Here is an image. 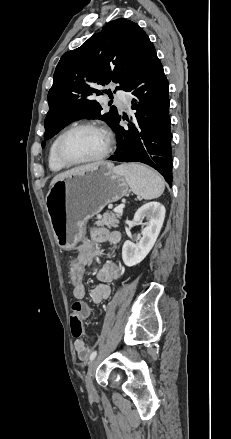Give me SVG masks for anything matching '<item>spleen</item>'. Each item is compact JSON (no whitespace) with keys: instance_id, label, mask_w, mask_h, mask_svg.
Instances as JSON below:
<instances>
[{"instance_id":"1","label":"spleen","mask_w":231,"mask_h":439,"mask_svg":"<svg viewBox=\"0 0 231 439\" xmlns=\"http://www.w3.org/2000/svg\"><path fill=\"white\" fill-rule=\"evenodd\" d=\"M128 182L132 192L143 199L158 198L164 192V181L155 171L136 163L122 164L115 167Z\"/></svg>"}]
</instances>
